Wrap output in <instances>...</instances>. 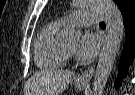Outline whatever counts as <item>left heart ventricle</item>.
<instances>
[{
    "mask_svg": "<svg viewBox=\"0 0 135 95\" xmlns=\"http://www.w3.org/2000/svg\"><path fill=\"white\" fill-rule=\"evenodd\" d=\"M73 28H76V29H79V30L85 29L84 26H76V27H73ZM67 46H68L71 50H75V48L77 47V41H76V42L69 43V44H67Z\"/></svg>",
    "mask_w": 135,
    "mask_h": 95,
    "instance_id": "1",
    "label": "left heart ventricle"
}]
</instances>
